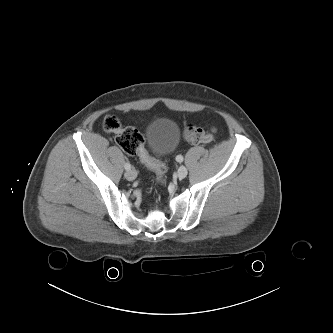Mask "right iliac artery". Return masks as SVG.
Returning a JSON list of instances; mask_svg holds the SVG:
<instances>
[{
	"mask_svg": "<svg viewBox=\"0 0 333 333\" xmlns=\"http://www.w3.org/2000/svg\"><path fill=\"white\" fill-rule=\"evenodd\" d=\"M124 167L127 171L131 169V165L128 162L125 163Z\"/></svg>",
	"mask_w": 333,
	"mask_h": 333,
	"instance_id": "obj_1",
	"label": "right iliac artery"
}]
</instances>
